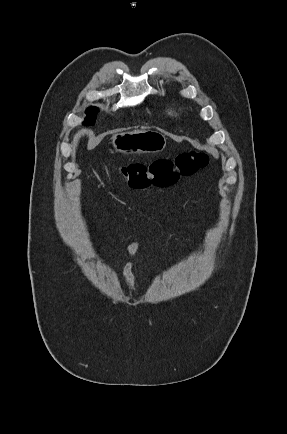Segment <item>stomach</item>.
Wrapping results in <instances>:
<instances>
[{
  "instance_id": "stomach-1",
  "label": "stomach",
  "mask_w": 287,
  "mask_h": 434,
  "mask_svg": "<svg viewBox=\"0 0 287 434\" xmlns=\"http://www.w3.org/2000/svg\"><path fill=\"white\" fill-rule=\"evenodd\" d=\"M111 140L115 151L123 154L157 153L167 145L164 134L150 129L114 133Z\"/></svg>"
}]
</instances>
